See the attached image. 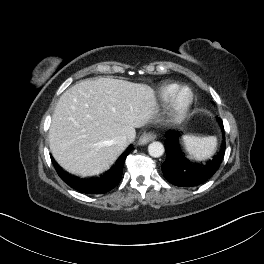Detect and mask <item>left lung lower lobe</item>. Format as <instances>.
I'll return each mask as SVG.
<instances>
[{"label":"left lung lower lobe","mask_w":264,"mask_h":264,"mask_svg":"<svg viewBox=\"0 0 264 264\" xmlns=\"http://www.w3.org/2000/svg\"><path fill=\"white\" fill-rule=\"evenodd\" d=\"M223 132V141L219 152L205 162H192L183 155L179 145V135L173 131L166 132L165 151L167 154L162 164L164 177L173 185L180 187L198 186L208 180L219 169L225 153V136L223 122L218 118Z\"/></svg>","instance_id":"0a47b994"}]
</instances>
